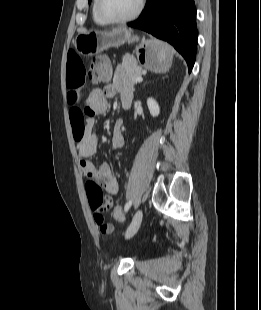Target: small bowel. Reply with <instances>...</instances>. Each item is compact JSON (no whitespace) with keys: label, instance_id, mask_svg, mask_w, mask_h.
<instances>
[{"label":"small bowel","instance_id":"1","mask_svg":"<svg viewBox=\"0 0 261 310\" xmlns=\"http://www.w3.org/2000/svg\"><path fill=\"white\" fill-rule=\"evenodd\" d=\"M85 84V66L80 56L71 51L67 57L66 87L72 107L70 110V121L76 142L79 157V168L87 181H95L102 185L109 195H116L119 190L117 179L112 167L108 163L99 168L91 160L97 147V135L94 131V116L102 114L107 109V99L120 94L121 99L133 96V87L125 78V70L118 66L115 70L112 83L106 85L102 90H94L88 100V106L83 112L76 104L78 94ZM122 121L117 120L114 124L112 134V150L121 148L124 144L122 134ZM112 205L111 198L107 199V205L94 210L100 213Z\"/></svg>","mask_w":261,"mask_h":310}]
</instances>
